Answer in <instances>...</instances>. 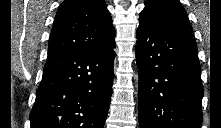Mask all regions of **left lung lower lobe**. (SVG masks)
Returning a JSON list of instances; mask_svg holds the SVG:
<instances>
[{"label":"left lung lower lobe","mask_w":221,"mask_h":128,"mask_svg":"<svg viewBox=\"0 0 221 128\" xmlns=\"http://www.w3.org/2000/svg\"><path fill=\"white\" fill-rule=\"evenodd\" d=\"M140 128H201V70L195 42L146 22L136 32Z\"/></svg>","instance_id":"1"}]
</instances>
